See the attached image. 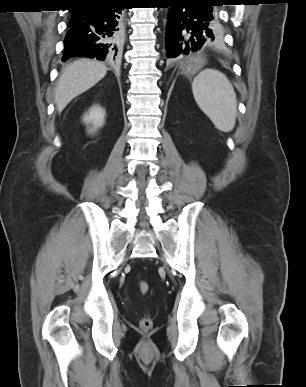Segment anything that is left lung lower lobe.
I'll list each match as a JSON object with an SVG mask.
<instances>
[{"instance_id":"left-lung-lower-lobe-1","label":"left lung lower lobe","mask_w":306,"mask_h":387,"mask_svg":"<svg viewBox=\"0 0 306 387\" xmlns=\"http://www.w3.org/2000/svg\"><path fill=\"white\" fill-rule=\"evenodd\" d=\"M171 7L165 37L166 56L176 66L189 52H196L214 40L219 0H163Z\"/></svg>"}]
</instances>
